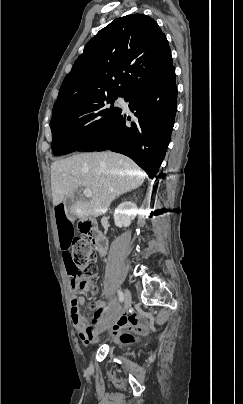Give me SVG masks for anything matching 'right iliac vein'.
Listing matches in <instances>:
<instances>
[{
    "label": "right iliac vein",
    "mask_w": 243,
    "mask_h": 404,
    "mask_svg": "<svg viewBox=\"0 0 243 404\" xmlns=\"http://www.w3.org/2000/svg\"><path fill=\"white\" fill-rule=\"evenodd\" d=\"M132 301L131 293L128 289L124 290V307L122 310V314L130 307ZM93 368V364L90 363V369Z\"/></svg>",
    "instance_id": "63e3f726"
}]
</instances>
